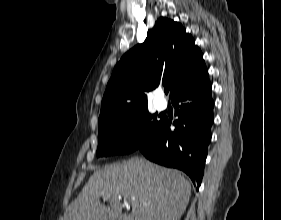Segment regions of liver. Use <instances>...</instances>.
Listing matches in <instances>:
<instances>
[{
    "instance_id": "6515ba94",
    "label": "liver",
    "mask_w": 281,
    "mask_h": 220,
    "mask_svg": "<svg viewBox=\"0 0 281 220\" xmlns=\"http://www.w3.org/2000/svg\"><path fill=\"white\" fill-rule=\"evenodd\" d=\"M121 196L132 205L125 220H179L188 205L191 185L177 170L134 157L94 172L69 205L64 220H118ZM101 197H108V206L101 203Z\"/></svg>"
}]
</instances>
